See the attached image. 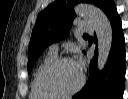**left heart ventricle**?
I'll return each instance as SVG.
<instances>
[{"mask_svg": "<svg viewBox=\"0 0 128 99\" xmlns=\"http://www.w3.org/2000/svg\"><path fill=\"white\" fill-rule=\"evenodd\" d=\"M81 79V70L76 62H64L48 71L44 84L56 91L66 92L75 88Z\"/></svg>", "mask_w": 128, "mask_h": 99, "instance_id": "obj_1", "label": "left heart ventricle"}]
</instances>
